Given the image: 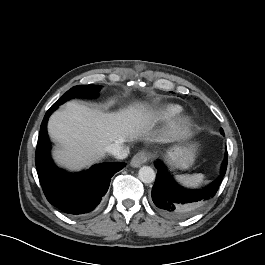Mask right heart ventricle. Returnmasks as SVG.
I'll return each instance as SVG.
<instances>
[{
	"label": "right heart ventricle",
	"instance_id": "obj_1",
	"mask_svg": "<svg viewBox=\"0 0 265 265\" xmlns=\"http://www.w3.org/2000/svg\"><path fill=\"white\" fill-rule=\"evenodd\" d=\"M182 108L176 104H169L163 107L160 112L156 113L157 119H172L181 112Z\"/></svg>",
	"mask_w": 265,
	"mask_h": 265
}]
</instances>
